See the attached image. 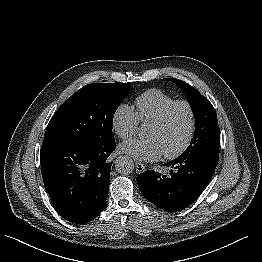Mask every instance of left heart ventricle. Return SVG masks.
Segmentation results:
<instances>
[{"mask_svg":"<svg viewBox=\"0 0 262 262\" xmlns=\"http://www.w3.org/2000/svg\"><path fill=\"white\" fill-rule=\"evenodd\" d=\"M190 127L189 110L184 105L176 106L162 126L149 125L146 137L158 141L165 153L176 151L186 140Z\"/></svg>","mask_w":262,"mask_h":262,"instance_id":"b2bd125f","label":"left heart ventricle"}]
</instances>
